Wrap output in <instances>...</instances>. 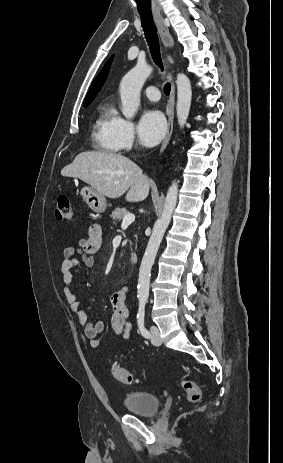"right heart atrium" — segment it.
Returning <instances> with one entry per match:
<instances>
[{
	"mask_svg": "<svg viewBox=\"0 0 283 463\" xmlns=\"http://www.w3.org/2000/svg\"><path fill=\"white\" fill-rule=\"evenodd\" d=\"M116 133L122 149L129 150L134 146L135 132L131 121L118 116Z\"/></svg>",
	"mask_w": 283,
	"mask_h": 463,
	"instance_id": "1",
	"label": "right heart atrium"
}]
</instances>
